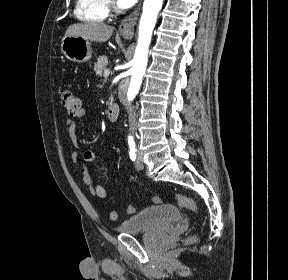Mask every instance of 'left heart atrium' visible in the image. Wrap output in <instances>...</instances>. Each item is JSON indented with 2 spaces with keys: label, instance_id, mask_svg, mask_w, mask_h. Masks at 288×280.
Segmentation results:
<instances>
[{
  "label": "left heart atrium",
  "instance_id": "obj_1",
  "mask_svg": "<svg viewBox=\"0 0 288 280\" xmlns=\"http://www.w3.org/2000/svg\"><path fill=\"white\" fill-rule=\"evenodd\" d=\"M117 1L118 5L122 8H128L136 2V0H117Z\"/></svg>",
  "mask_w": 288,
  "mask_h": 280
}]
</instances>
